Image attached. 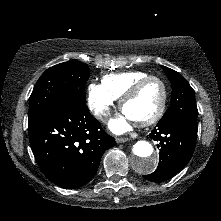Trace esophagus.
Returning a JSON list of instances; mask_svg holds the SVG:
<instances>
[{
	"label": "esophagus",
	"instance_id": "1",
	"mask_svg": "<svg viewBox=\"0 0 221 221\" xmlns=\"http://www.w3.org/2000/svg\"><path fill=\"white\" fill-rule=\"evenodd\" d=\"M128 140H129V138H125V137H117L116 138V142L117 143H124V142H126Z\"/></svg>",
	"mask_w": 221,
	"mask_h": 221
}]
</instances>
